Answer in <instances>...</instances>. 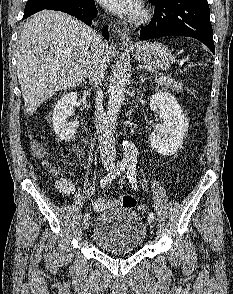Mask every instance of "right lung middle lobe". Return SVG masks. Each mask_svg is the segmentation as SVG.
<instances>
[{
	"mask_svg": "<svg viewBox=\"0 0 233 294\" xmlns=\"http://www.w3.org/2000/svg\"><path fill=\"white\" fill-rule=\"evenodd\" d=\"M75 1L77 0H28L25 6L23 18H27L32 14L50 6L68 4Z\"/></svg>",
	"mask_w": 233,
	"mask_h": 294,
	"instance_id": "1",
	"label": "right lung middle lobe"
}]
</instances>
